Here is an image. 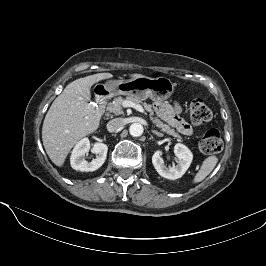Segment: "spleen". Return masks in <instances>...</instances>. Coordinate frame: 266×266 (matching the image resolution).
I'll return each instance as SVG.
<instances>
[{"instance_id": "obj_1", "label": "spleen", "mask_w": 266, "mask_h": 266, "mask_svg": "<svg viewBox=\"0 0 266 266\" xmlns=\"http://www.w3.org/2000/svg\"><path fill=\"white\" fill-rule=\"evenodd\" d=\"M218 162V158L214 155H211L207 157L203 162L202 165L200 166V169L194 176L192 182L193 183H199L202 180H204L215 168L216 164Z\"/></svg>"}]
</instances>
